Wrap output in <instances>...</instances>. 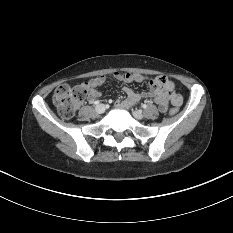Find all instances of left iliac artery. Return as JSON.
I'll return each instance as SVG.
<instances>
[{
    "label": "left iliac artery",
    "instance_id": "obj_1",
    "mask_svg": "<svg viewBox=\"0 0 233 233\" xmlns=\"http://www.w3.org/2000/svg\"><path fill=\"white\" fill-rule=\"evenodd\" d=\"M142 108H147V105L146 104H142Z\"/></svg>",
    "mask_w": 233,
    "mask_h": 233
}]
</instances>
